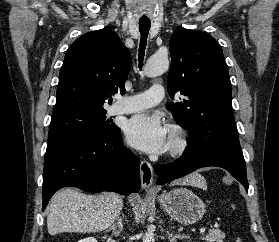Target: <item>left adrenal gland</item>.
Wrapping results in <instances>:
<instances>
[{
    "label": "left adrenal gland",
    "instance_id": "1",
    "mask_svg": "<svg viewBox=\"0 0 279 242\" xmlns=\"http://www.w3.org/2000/svg\"><path fill=\"white\" fill-rule=\"evenodd\" d=\"M168 235H169L170 242H175L177 239H188V237L184 234H182V235L176 234L173 236V234L168 232Z\"/></svg>",
    "mask_w": 279,
    "mask_h": 242
}]
</instances>
